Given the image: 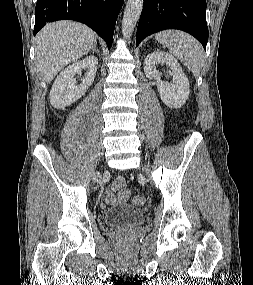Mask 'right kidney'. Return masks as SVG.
Here are the masks:
<instances>
[{"label":"right kidney","mask_w":253,"mask_h":285,"mask_svg":"<svg viewBox=\"0 0 253 285\" xmlns=\"http://www.w3.org/2000/svg\"><path fill=\"white\" fill-rule=\"evenodd\" d=\"M98 59L95 56H87L65 68L55 79L50 91V103L54 108L64 109L80 99L92 85ZM86 69L87 72L82 82L78 85L74 76Z\"/></svg>","instance_id":"1"}]
</instances>
